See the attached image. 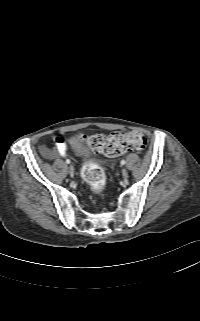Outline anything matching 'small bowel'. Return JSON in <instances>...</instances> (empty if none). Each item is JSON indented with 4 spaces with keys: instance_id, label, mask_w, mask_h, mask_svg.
<instances>
[{
    "instance_id": "1",
    "label": "small bowel",
    "mask_w": 200,
    "mask_h": 321,
    "mask_svg": "<svg viewBox=\"0 0 200 321\" xmlns=\"http://www.w3.org/2000/svg\"><path fill=\"white\" fill-rule=\"evenodd\" d=\"M54 141H55V145H56L55 151H49L47 149H43L42 150L43 154L47 158H54L56 155L66 156L67 151H68V146H67L65 139L62 137H56L54 139Z\"/></svg>"
}]
</instances>
